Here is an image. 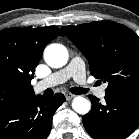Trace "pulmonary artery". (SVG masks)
<instances>
[{
    "mask_svg": "<svg viewBox=\"0 0 139 139\" xmlns=\"http://www.w3.org/2000/svg\"><path fill=\"white\" fill-rule=\"evenodd\" d=\"M74 79L82 88L88 92L93 91L94 94L103 99L106 95V86L94 87L90 85L86 79L85 65L81 58L74 57L70 63L63 69L54 72L46 79L39 81L35 86V92H41L46 88L53 87L58 84L66 82L68 79Z\"/></svg>",
    "mask_w": 139,
    "mask_h": 139,
    "instance_id": "obj_1",
    "label": "pulmonary artery"
}]
</instances>
